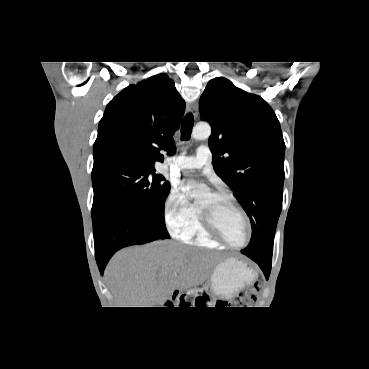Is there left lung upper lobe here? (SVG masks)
<instances>
[{"label":"left lung upper lobe","instance_id":"obj_1","mask_svg":"<svg viewBox=\"0 0 369 369\" xmlns=\"http://www.w3.org/2000/svg\"><path fill=\"white\" fill-rule=\"evenodd\" d=\"M201 119L210 123L215 172L234 191L252 226L246 256L271 261L282 209L284 151L279 121L260 96L224 77L210 80L200 98Z\"/></svg>","mask_w":369,"mask_h":369}]
</instances>
